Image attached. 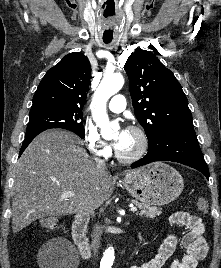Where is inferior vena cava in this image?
I'll return each instance as SVG.
<instances>
[{
    "mask_svg": "<svg viewBox=\"0 0 221 268\" xmlns=\"http://www.w3.org/2000/svg\"><path fill=\"white\" fill-rule=\"evenodd\" d=\"M96 166L98 169L105 171L106 163L102 159H96ZM92 242H91V249L94 252V255L98 252V248L100 246V239H101V231L98 226H95L92 233Z\"/></svg>",
    "mask_w": 221,
    "mask_h": 268,
    "instance_id": "obj_1",
    "label": "inferior vena cava"
}]
</instances>
